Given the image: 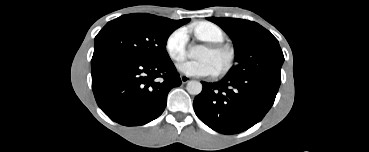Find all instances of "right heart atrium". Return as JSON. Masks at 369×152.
<instances>
[{
	"label": "right heart atrium",
	"instance_id": "1",
	"mask_svg": "<svg viewBox=\"0 0 369 152\" xmlns=\"http://www.w3.org/2000/svg\"><path fill=\"white\" fill-rule=\"evenodd\" d=\"M187 43L188 35L185 29L174 30L165 43V49L170 59L176 62L182 60L186 55Z\"/></svg>",
	"mask_w": 369,
	"mask_h": 152
}]
</instances>
